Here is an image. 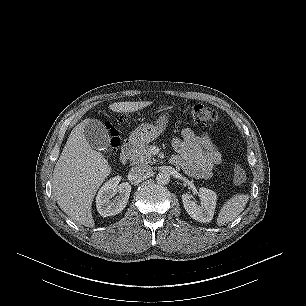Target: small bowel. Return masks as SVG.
<instances>
[{
    "instance_id": "c3829d8e",
    "label": "small bowel",
    "mask_w": 306,
    "mask_h": 306,
    "mask_svg": "<svg viewBox=\"0 0 306 306\" xmlns=\"http://www.w3.org/2000/svg\"><path fill=\"white\" fill-rule=\"evenodd\" d=\"M173 146L179 155L172 162L192 177L208 179L222 164V156L208 132L197 136L185 128L182 137L173 140Z\"/></svg>"
}]
</instances>
